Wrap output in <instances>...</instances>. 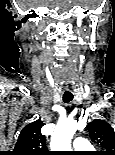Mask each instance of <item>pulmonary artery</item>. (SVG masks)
<instances>
[{
	"label": "pulmonary artery",
	"instance_id": "obj_1",
	"mask_svg": "<svg viewBox=\"0 0 115 155\" xmlns=\"http://www.w3.org/2000/svg\"><path fill=\"white\" fill-rule=\"evenodd\" d=\"M73 146L78 151L89 150L92 148L90 142L82 137H78L74 140Z\"/></svg>",
	"mask_w": 115,
	"mask_h": 155
}]
</instances>
